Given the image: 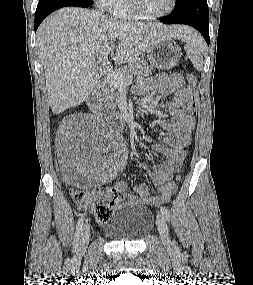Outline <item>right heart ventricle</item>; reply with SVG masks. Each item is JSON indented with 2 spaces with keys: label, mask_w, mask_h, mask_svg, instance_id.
I'll return each instance as SVG.
<instances>
[{
  "label": "right heart ventricle",
  "mask_w": 253,
  "mask_h": 285,
  "mask_svg": "<svg viewBox=\"0 0 253 285\" xmlns=\"http://www.w3.org/2000/svg\"><path fill=\"white\" fill-rule=\"evenodd\" d=\"M111 14L119 19H132L135 18L129 0H115L110 8Z\"/></svg>",
  "instance_id": "right-heart-ventricle-1"
}]
</instances>
